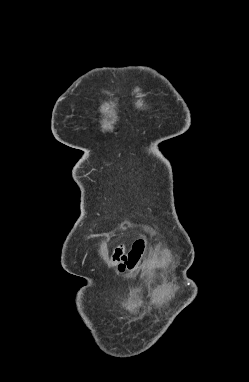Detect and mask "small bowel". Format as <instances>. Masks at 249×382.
<instances>
[{
  "instance_id": "small-bowel-1",
  "label": "small bowel",
  "mask_w": 249,
  "mask_h": 382,
  "mask_svg": "<svg viewBox=\"0 0 249 382\" xmlns=\"http://www.w3.org/2000/svg\"><path fill=\"white\" fill-rule=\"evenodd\" d=\"M144 246L141 240L133 242L132 250L127 253L123 246L117 247L112 255V263L118 265L120 270L138 265L142 259Z\"/></svg>"
}]
</instances>
